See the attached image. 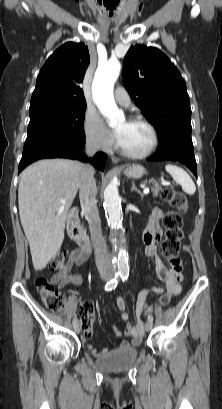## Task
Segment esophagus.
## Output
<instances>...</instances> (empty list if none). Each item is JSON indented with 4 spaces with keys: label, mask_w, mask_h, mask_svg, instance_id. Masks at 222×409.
Segmentation results:
<instances>
[{
    "label": "esophagus",
    "mask_w": 222,
    "mask_h": 409,
    "mask_svg": "<svg viewBox=\"0 0 222 409\" xmlns=\"http://www.w3.org/2000/svg\"><path fill=\"white\" fill-rule=\"evenodd\" d=\"M111 160H112V163H113L114 165H117L118 162H119V158L116 157V156H112V157H111Z\"/></svg>",
    "instance_id": "1"
}]
</instances>
